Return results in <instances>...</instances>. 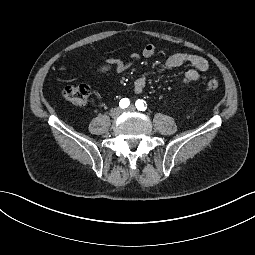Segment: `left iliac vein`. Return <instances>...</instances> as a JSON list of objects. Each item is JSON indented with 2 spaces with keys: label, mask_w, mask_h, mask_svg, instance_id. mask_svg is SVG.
<instances>
[{
  "label": "left iliac vein",
  "mask_w": 255,
  "mask_h": 255,
  "mask_svg": "<svg viewBox=\"0 0 255 255\" xmlns=\"http://www.w3.org/2000/svg\"><path fill=\"white\" fill-rule=\"evenodd\" d=\"M127 110L129 111H134L135 110V107L133 105H131Z\"/></svg>",
  "instance_id": "1"
}]
</instances>
